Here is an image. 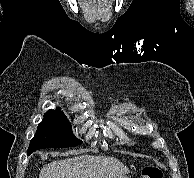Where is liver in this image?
I'll use <instances>...</instances> for the list:
<instances>
[{
  "label": "liver",
  "instance_id": "6515ba94",
  "mask_svg": "<svg viewBox=\"0 0 194 178\" xmlns=\"http://www.w3.org/2000/svg\"><path fill=\"white\" fill-rule=\"evenodd\" d=\"M128 173L116 158L80 155L45 165L39 178H120Z\"/></svg>",
  "mask_w": 194,
  "mask_h": 178
}]
</instances>
